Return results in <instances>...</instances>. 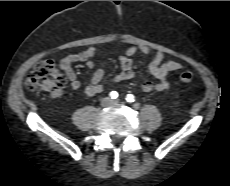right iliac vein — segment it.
<instances>
[{
  "mask_svg": "<svg viewBox=\"0 0 230 186\" xmlns=\"http://www.w3.org/2000/svg\"><path fill=\"white\" fill-rule=\"evenodd\" d=\"M110 103V99L109 98H105L103 101H102V104L103 105H108Z\"/></svg>",
  "mask_w": 230,
  "mask_h": 186,
  "instance_id": "63e3f726",
  "label": "right iliac vein"
}]
</instances>
